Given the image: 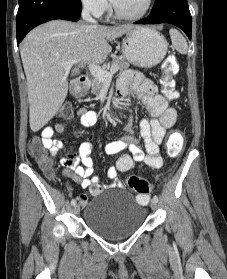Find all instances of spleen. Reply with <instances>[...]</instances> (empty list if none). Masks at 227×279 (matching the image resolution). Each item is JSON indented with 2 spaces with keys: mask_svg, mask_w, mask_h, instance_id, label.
<instances>
[{
  "mask_svg": "<svg viewBox=\"0 0 227 279\" xmlns=\"http://www.w3.org/2000/svg\"><path fill=\"white\" fill-rule=\"evenodd\" d=\"M169 33L175 49L181 54H186L188 51V45L182 34L176 29H171Z\"/></svg>",
  "mask_w": 227,
  "mask_h": 279,
  "instance_id": "3e777b00",
  "label": "spleen"
}]
</instances>
